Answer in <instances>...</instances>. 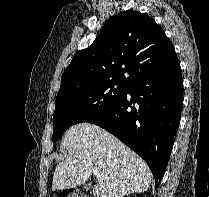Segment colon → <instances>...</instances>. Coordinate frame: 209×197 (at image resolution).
Segmentation results:
<instances>
[{
  "label": "colon",
  "instance_id": "5ec220e1",
  "mask_svg": "<svg viewBox=\"0 0 209 197\" xmlns=\"http://www.w3.org/2000/svg\"><path fill=\"white\" fill-rule=\"evenodd\" d=\"M62 197H88V196L79 191H69L63 194Z\"/></svg>",
  "mask_w": 209,
  "mask_h": 197
}]
</instances>
